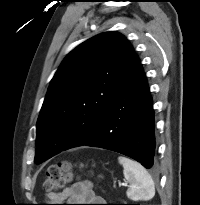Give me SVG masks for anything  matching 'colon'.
<instances>
[{"label": "colon", "mask_w": 200, "mask_h": 205, "mask_svg": "<svg viewBox=\"0 0 200 205\" xmlns=\"http://www.w3.org/2000/svg\"><path fill=\"white\" fill-rule=\"evenodd\" d=\"M72 179L71 167L68 162L51 165L45 175L43 188L47 194L62 189Z\"/></svg>", "instance_id": "colon-1"}]
</instances>
